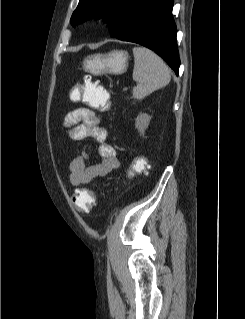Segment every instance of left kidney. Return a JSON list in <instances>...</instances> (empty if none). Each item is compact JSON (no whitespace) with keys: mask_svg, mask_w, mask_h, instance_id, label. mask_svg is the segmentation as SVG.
<instances>
[{"mask_svg":"<svg viewBox=\"0 0 245 319\" xmlns=\"http://www.w3.org/2000/svg\"><path fill=\"white\" fill-rule=\"evenodd\" d=\"M151 117L148 114L140 113L135 120V127L141 136H144L145 130L148 128Z\"/></svg>","mask_w":245,"mask_h":319,"instance_id":"left-kidney-1","label":"left kidney"}]
</instances>
